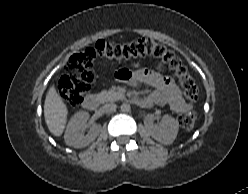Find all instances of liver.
I'll return each mask as SVG.
<instances>
[{
    "label": "liver",
    "mask_w": 248,
    "mask_h": 194,
    "mask_svg": "<svg viewBox=\"0 0 248 194\" xmlns=\"http://www.w3.org/2000/svg\"><path fill=\"white\" fill-rule=\"evenodd\" d=\"M68 109L58 95L55 85L48 90L44 103V117L48 129L54 136H61L67 122Z\"/></svg>",
    "instance_id": "6515ba94"
}]
</instances>
